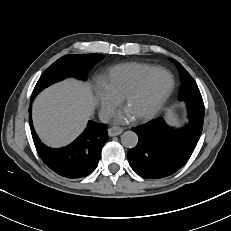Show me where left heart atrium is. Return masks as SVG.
<instances>
[{"mask_svg":"<svg viewBox=\"0 0 231 231\" xmlns=\"http://www.w3.org/2000/svg\"><path fill=\"white\" fill-rule=\"evenodd\" d=\"M134 118L135 116L131 113V111L128 108L123 109L116 116V120L121 123L129 122L133 120Z\"/></svg>","mask_w":231,"mask_h":231,"instance_id":"1","label":"left heart atrium"}]
</instances>
